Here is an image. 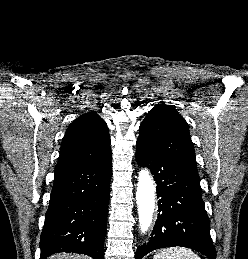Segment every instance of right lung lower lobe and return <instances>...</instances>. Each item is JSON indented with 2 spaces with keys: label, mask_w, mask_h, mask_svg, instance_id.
Here are the masks:
<instances>
[{
  "label": "right lung lower lobe",
  "mask_w": 248,
  "mask_h": 259,
  "mask_svg": "<svg viewBox=\"0 0 248 259\" xmlns=\"http://www.w3.org/2000/svg\"><path fill=\"white\" fill-rule=\"evenodd\" d=\"M110 179L111 152L95 161L55 169L40 259L59 252L104 259Z\"/></svg>",
  "instance_id": "obj_1"
}]
</instances>
